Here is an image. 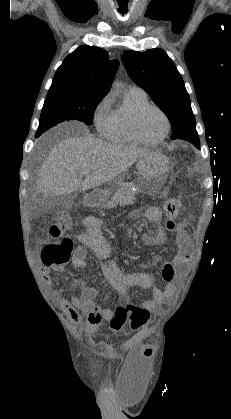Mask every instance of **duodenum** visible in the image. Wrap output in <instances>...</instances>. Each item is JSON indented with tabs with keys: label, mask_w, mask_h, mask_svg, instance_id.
Here are the masks:
<instances>
[{
	"label": "duodenum",
	"mask_w": 231,
	"mask_h": 419,
	"mask_svg": "<svg viewBox=\"0 0 231 419\" xmlns=\"http://www.w3.org/2000/svg\"><path fill=\"white\" fill-rule=\"evenodd\" d=\"M85 201H86V205L88 207H93V206H95L98 203L99 196L96 193H89L86 196Z\"/></svg>",
	"instance_id": "410a0bca"
}]
</instances>
